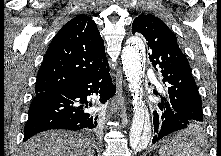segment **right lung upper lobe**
Listing matches in <instances>:
<instances>
[{
    "label": "right lung upper lobe",
    "mask_w": 221,
    "mask_h": 156,
    "mask_svg": "<svg viewBox=\"0 0 221 156\" xmlns=\"http://www.w3.org/2000/svg\"><path fill=\"white\" fill-rule=\"evenodd\" d=\"M107 64L96 23L85 14L77 15L50 43L38 71L35 93L60 91Z\"/></svg>",
    "instance_id": "1"
}]
</instances>
